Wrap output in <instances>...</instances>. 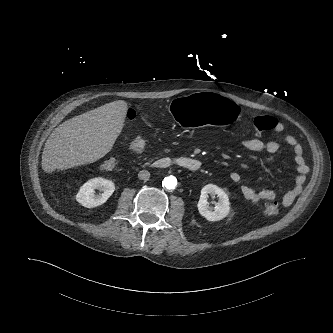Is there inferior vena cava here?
<instances>
[{
  "instance_id": "1",
  "label": "inferior vena cava",
  "mask_w": 333,
  "mask_h": 333,
  "mask_svg": "<svg viewBox=\"0 0 333 333\" xmlns=\"http://www.w3.org/2000/svg\"><path fill=\"white\" fill-rule=\"evenodd\" d=\"M149 177H150V173L147 170H142L138 174V178L140 180H145L146 181V180L149 179Z\"/></svg>"
}]
</instances>
